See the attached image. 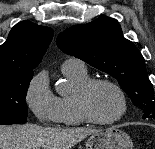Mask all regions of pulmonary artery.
Listing matches in <instances>:
<instances>
[{
    "mask_svg": "<svg viewBox=\"0 0 155 149\" xmlns=\"http://www.w3.org/2000/svg\"><path fill=\"white\" fill-rule=\"evenodd\" d=\"M85 64L77 58H68L62 64V71H84Z\"/></svg>",
    "mask_w": 155,
    "mask_h": 149,
    "instance_id": "pulmonary-artery-1",
    "label": "pulmonary artery"
}]
</instances>
